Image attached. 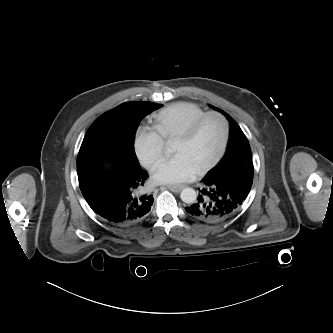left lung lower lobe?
<instances>
[{
  "mask_svg": "<svg viewBox=\"0 0 333 333\" xmlns=\"http://www.w3.org/2000/svg\"><path fill=\"white\" fill-rule=\"evenodd\" d=\"M252 182L253 172L248 170L233 169L219 177L206 175L197 201L185 210L200 221H223L247 198Z\"/></svg>",
  "mask_w": 333,
  "mask_h": 333,
  "instance_id": "1",
  "label": "left lung lower lobe"
}]
</instances>
